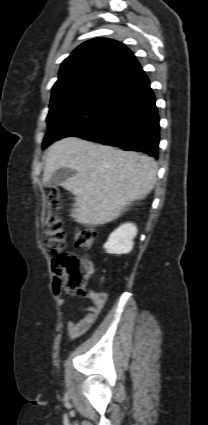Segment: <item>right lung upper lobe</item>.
<instances>
[{
    "instance_id": "1",
    "label": "right lung upper lobe",
    "mask_w": 208,
    "mask_h": 425,
    "mask_svg": "<svg viewBox=\"0 0 208 425\" xmlns=\"http://www.w3.org/2000/svg\"><path fill=\"white\" fill-rule=\"evenodd\" d=\"M136 63L132 52L118 41L95 38L84 42L62 62L51 101L81 90H104Z\"/></svg>"
}]
</instances>
